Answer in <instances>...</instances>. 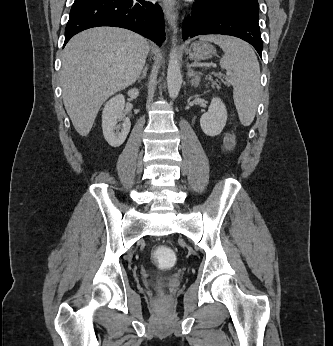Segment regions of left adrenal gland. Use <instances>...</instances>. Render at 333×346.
I'll use <instances>...</instances> for the list:
<instances>
[{
  "mask_svg": "<svg viewBox=\"0 0 333 346\" xmlns=\"http://www.w3.org/2000/svg\"><path fill=\"white\" fill-rule=\"evenodd\" d=\"M187 77L188 78H192L191 79V84L194 86V87H197L198 86V83H199V80H200V76L197 72L193 71L191 69V66L189 65V63H187Z\"/></svg>",
  "mask_w": 333,
  "mask_h": 346,
  "instance_id": "left-adrenal-gland-1",
  "label": "left adrenal gland"
}]
</instances>
